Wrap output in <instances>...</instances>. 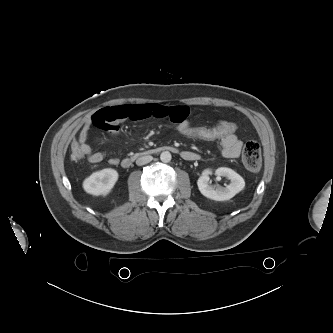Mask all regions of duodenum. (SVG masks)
Instances as JSON below:
<instances>
[{"mask_svg": "<svg viewBox=\"0 0 333 333\" xmlns=\"http://www.w3.org/2000/svg\"><path fill=\"white\" fill-rule=\"evenodd\" d=\"M162 151H172L175 152L176 149L173 147H169V146H163V147H156V148H150L147 149L145 151L136 153L134 155L131 156H127L126 158H124L121 162L122 167L124 168H129L133 162L135 161V159L139 156H148V155H153ZM182 156L185 159H189V160H196L198 158V156L194 153H188V152H182Z\"/></svg>", "mask_w": 333, "mask_h": 333, "instance_id": "obj_1", "label": "duodenum"}]
</instances>
